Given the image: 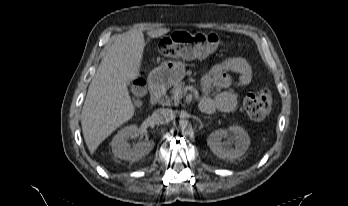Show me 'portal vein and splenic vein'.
<instances>
[{
	"label": "portal vein and splenic vein",
	"mask_w": 348,
	"mask_h": 206,
	"mask_svg": "<svg viewBox=\"0 0 348 206\" xmlns=\"http://www.w3.org/2000/svg\"><path fill=\"white\" fill-rule=\"evenodd\" d=\"M175 100H180L182 98V94L180 91L176 92L174 95Z\"/></svg>",
	"instance_id": "18ae733b"
}]
</instances>
